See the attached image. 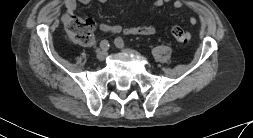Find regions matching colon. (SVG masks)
<instances>
[{"label": "colon", "instance_id": "obj_1", "mask_svg": "<svg viewBox=\"0 0 253 138\" xmlns=\"http://www.w3.org/2000/svg\"><path fill=\"white\" fill-rule=\"evenodd\" d=\"M64 26L68 38L74 43L85 46L93 43L94 25L91 21L69 15L64 18ZM171 33L180 43H187L191 38L190 34L178 25L171 28Z\"/></svg>", "mask_w": 253, "mask_h": 138}]
</instances>
